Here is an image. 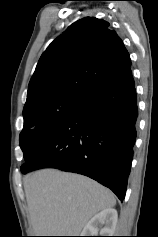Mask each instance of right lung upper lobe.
<instances>
[{"label": "right lung upper lobe", "mask_w": 158, "mask_h": 237, "mask_svg": "<svg viewBox=\"0 0 158 237\" xmlns=\"http://www.w3.org/2000/svg\"><path fill=\"white\" fill-rule=\"evenodd\" d=\"M130 66L129 53L108 22L94 17L78 20L40 57L23 111L51 98L85 101Z\"/></svg>", "instance_id": "cb5924a9"}]
</instances>
